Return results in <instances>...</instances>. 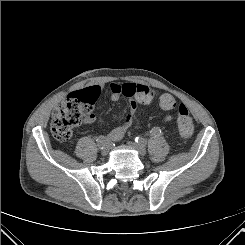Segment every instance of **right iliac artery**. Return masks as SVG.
I'll return each mask as SVG.
<instances>
[{
	"label": "right iliac artery",
	"instance_id": "right-iliac-artery-1",
	"mask_svg": "<svg viewBox=\"0 0 245 245\" xmlns=\"http://www.w3.org/2000/svg\"><path fill=\"white\" fill-rule=\"evenodd\" d=\"M96 141H97V146H98L100 149L103 148L104 151H107L108 148L110 147V144L107 143V139H106L104 136L98 137V139H97Z\"/></svg>",
	"mask_w": 245,
	"mask_h": 245
}]
</instances>
